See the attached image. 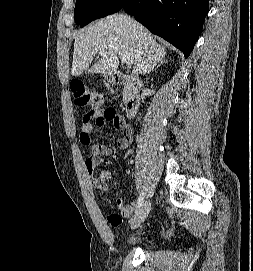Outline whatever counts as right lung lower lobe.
I'll return each mask as SVG.
<instances>
[{
	"label": "right lung lower lobe",
	"mask_w": 253,
	"mask_h": 271,
	"mask_svg": "<svg viewBox=\"0 0 253 271\" xmlns=\"http://www.w3.org/2000/svg\"><path fill=\"white\" fill-rule=\"evenodd\" d=\"M208 8V0H127L122 7L185 57L201 34Z\"/></svg>",
	"instance_id": "obj_1"
}]
</instances>
